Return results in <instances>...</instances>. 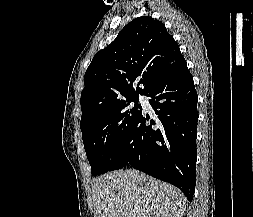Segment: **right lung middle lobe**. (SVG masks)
I'll return each mask as SVG.
<instances>
[{
    "mask_svg": "<svg viewBox=\"0 0 253 217\" xmlns=\"http://www.w3.org/2000/svg\"><path fill=\"white\" fill-rule=\"evenodd\" d=\"M134 102V105L130 103ZM142 113L138 97L111 106L80 125L92 175L112 170L132 126Z\"/></svg>",
    "mask_w": 253,
    "mask_h": 217,
    "instance_id": "dd1d6c3e",
    "label": "right lung middle lobe"
}]
</instances>
